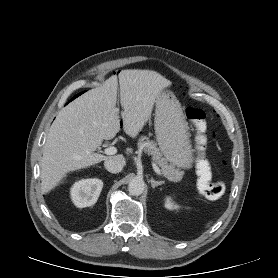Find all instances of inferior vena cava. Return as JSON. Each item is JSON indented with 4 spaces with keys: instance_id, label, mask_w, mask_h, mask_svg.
<instances>
[{
    "instance_id": "1",
    "label": "inferior vena cava",
    "mask_w": 278,
    "mask_h": 278,
    "mask_svg": "<svg viewBox=\"0 0 278 278\" xmlns=\"http://www.w3.org/2000/svg\"><path fill=\"white\" fill-rule=\"evenodd\" d=\"M104 166L107 171L111 173H119L123 169V164L120 161L114 159H107L104 162Z\"/></svg>"
}]
</instances>
